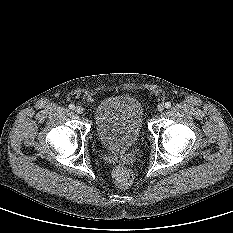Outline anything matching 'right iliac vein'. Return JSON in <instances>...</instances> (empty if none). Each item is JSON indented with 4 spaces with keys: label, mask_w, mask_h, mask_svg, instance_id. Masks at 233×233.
Returning a JSON list of instances; mask_svg holds the SVG:
<instances>
[{
    "label": "right iliac vein",
    "mask_w": 233,
    "mask_h": 233,
    "mask_svg": "<svg viewBox=\"0 0 233 233\" xmlns=\"http://www.w3.org/2000/svg\"><path fill=\"white\" fill-rule=\"evenodd\" d=\"M83 111H84V109H83V107H81V106H77V107L75 108V112H76L77 114H82Z\"/></svg>",
    "instance_id": "63e3f726"
}]
</instances>
